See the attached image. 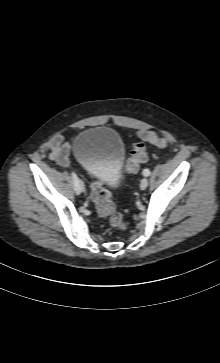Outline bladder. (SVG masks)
Instances as JSON below:
<instances>
[{
  "label": "bladder",
  "instance_id": "bladder-1",
  "mask_svg": "<svg viewBox=\"0 0 220 363\" xmlns=\"http://www.w3.org/2000/svg\"><path fill=\"white\" fill-rule=\"evenodd\" d=\"M72 150L79 163L103 184L118 186L122 182L126 152L115 130L102 126L87 128L75 136Z\"/></svg>",
  "mask_w": 220,
  "mask_h": 363
}]
</instances>
